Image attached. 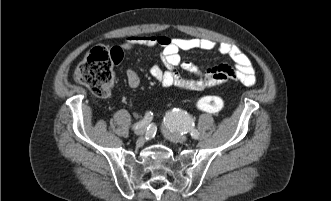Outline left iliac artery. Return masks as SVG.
<instances>
[{
  "instance_id": "obj_1",
  "label": "left iliac artery",
  "mask_w": 331,
  "mask_h": 201,
  "mask_svg": "<svg viewBox=\"0 0 331 201\" xmlns=\"http://www.w3.org/2000/svg\"><path fill=\"white\" fill-rule=\"evenodd\" d=\"M164 123L171 131H179L182 134L189 132L194 139L199 137L198 131L193 128L194 121L192 117L182 109L174 108L167 112Z\"/></svg>"
}]
</instances>
